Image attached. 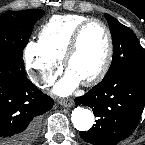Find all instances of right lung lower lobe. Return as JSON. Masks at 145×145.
I'll list each match as a JSON object with an SVG mask.
<instances>
[{
	"mask_svg": "<svg viewBox=\"0 0 145 145\" xmlns=\"http://www.w3.org/2000/svg\"><path fill=\"white\" fill-rule=\"evenodd\" d=\"M53 103L27 79L22 56L0 57V145H32Z\"/></svg>",
	"mask_w": 145,
	"mask_h": 145,
	"instance_id": "1",
	"label": "right lung lower lobe"
}]
</instances>
